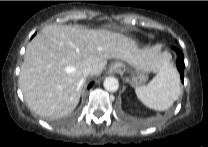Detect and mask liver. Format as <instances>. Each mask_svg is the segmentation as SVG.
I'll use <instances>...</instances> for the list:
<instances>
[{
	"label": "liver",
	"mask_w": 208,
	"mask_h": 147,
	"mask_svg": "<svg viewBox=\"0 0 208 147\" xmlns=\"http://www.w3.org/2000/svg\"><path fill=\"white\" fill-rule=\"evenodd\" d=\"M168 58L153 48L139 49L133 39L117 32L51 24L28 44L19 86L32 111L59 118L78 105L85 66H92V75H99L108 59H119L146 72H158Z\"/></svg>",
	"instance_id": "obj_1"
}]
</instances>
